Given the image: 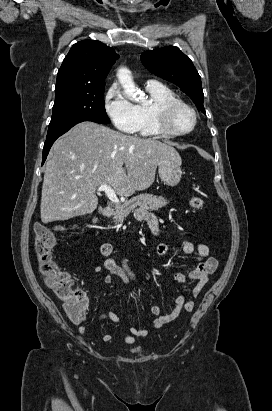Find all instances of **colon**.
<instances>
[{
  "instance_id": "5ec220e1",
  "label": "colon",
  "mask_w": 272,
  "mask_h": 411,
  "mask_svg": "<svg viewBox=\"0 0 272 411\" xmlns=\"http://www.w3.org/2000/svg\"><path fill=\"white\" fill-rule=\"evenodd\" d=\"M190 206L195 210L202 209L204 200L201 197H192ZM34 234L35 252L46 285L63 302L64 309L72 321H83L87 299L85 293L75 284L71 276L61 270L53 260L52 248L57 241L55 232L41 223H36Z\"/></svg>"
}]
</instances>
